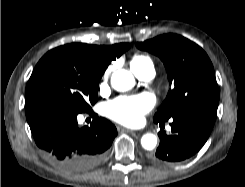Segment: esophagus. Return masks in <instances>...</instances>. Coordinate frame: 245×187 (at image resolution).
Masks as SVG:
<instances>
[{
	"label": "esophagus",
	"instance_id": "34e87169",
	"mask_svg": "<svg viewBox=\"0 0 245 187\" xmlns=\"http://www.w3.org/2000/svg\"><path fill=\"white\" fill-rule=\"evenodd\" d=\"M119 130L123 131V132H128V133H139L140 132V131H137V130H131V129L122 128V127H120Z\"/></svg>",
	"mask_w": 245,
	"mask_h": 187
}]
</instances>
